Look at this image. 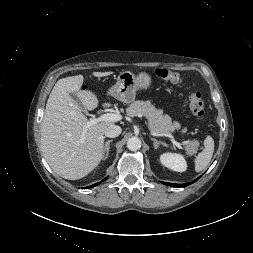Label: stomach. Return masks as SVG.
<instances>
[{
  "instance_id": "obj_1",
  "label": "stomach",
  "mask_w": 253,
  "mask_h": 253,
  "mask_svg": "<svg viewBox=\"0 0 253 253\" xmlns=\"http://www.w3.org/2000/svg\"><path fill=\"white\" fill-rule=\"evenodd\" d=\"M152 83L147 72H140L137 76L130 71L121 72L117 83L109 90V94L123 103H131L136 97L138 90H146ZM180 125L175 129H179Z\"/></svg>"
}]
</instances>
